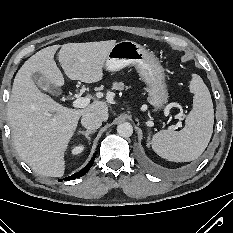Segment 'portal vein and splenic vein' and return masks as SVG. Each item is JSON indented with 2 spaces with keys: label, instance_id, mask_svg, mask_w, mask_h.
I'll return each mask as SVG.
<instances>
[{
  "label": "portal vein and splenic vein",
  "instance_id": "obj_1",
  "mask_svg": "<svg viewBox=\"0 0 233 233\" xmlns=\"http://www.w3.org/2000/svg\"><path fill=\"white\" fill-rule=\"evenodd\" d=\"M90 103V98L88 97H80L77 98L73 101V107L75 108H84L86 106H88ZM181 116V114H180Z\"/></svg>",
  "mask_w": 233,
  "mask_h": 233
}]
</instances>
